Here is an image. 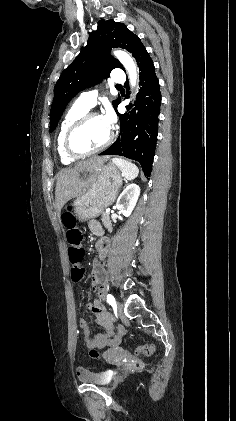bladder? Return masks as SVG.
I'll list each match as a JSON object with an SVG mask.
<instances>
[{
    "instance_id": "31cf9c89",
    "label": "bladder",
    "mask_w": 236,
    "mask_h": 421,
    "mask_svg": "<svg viewBox=\"0 0 236 421\" xmlns=\"http://www.w3.org/2000/svg\"><path fill=\"white\" fill-rule=\"evenodd\" d=\"M78 381L100 386L105 384V377L102 374L94 373L92 370L84 369L79 371Z\"/></svg>"
}]
</instances>
